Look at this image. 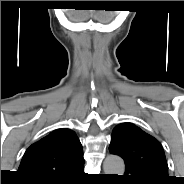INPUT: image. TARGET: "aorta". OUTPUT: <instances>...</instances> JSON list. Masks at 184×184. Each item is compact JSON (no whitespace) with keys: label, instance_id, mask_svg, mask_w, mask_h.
I'll use <instances>...</instances> for the list:
<instances>
[{"label":"aorta","instance_id":"obj_1","mask_svg":"<svg viewBox=\"0 0 184 184\" xmlns=\"http://www.w3.org/2000/svg\"><path fill=\"white\" fill-rule=\"evenodd\" d=\"M103 169L105 174L123 175L125 171L124 161L117 155H109L104 161Z\"/></svg>","mask_w":184,"mask_h":184}]
</instances>
